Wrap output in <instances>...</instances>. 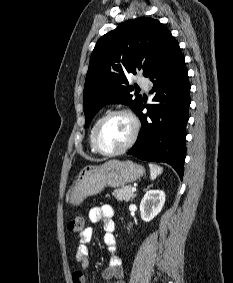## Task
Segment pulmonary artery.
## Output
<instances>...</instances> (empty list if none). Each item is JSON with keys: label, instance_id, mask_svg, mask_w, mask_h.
Here are the masks:
<instances>
[{"label": "pulmonary artery", "instance_id": "e3ab8cb5", "mask_svg": "<svg viewBox=\"0 0 233 283\" xmlns=\"http://www.w3.org/2000/svg\"><path fill=\"white\" fill-rule=\"evenodd\" d=\"M137 83L140 87H142L144 90H148L149 88V81L144 78V77H140L138 80H137Z\"/></svg>", "mask_w": 233, "mask_h": 283}]
</instances>
